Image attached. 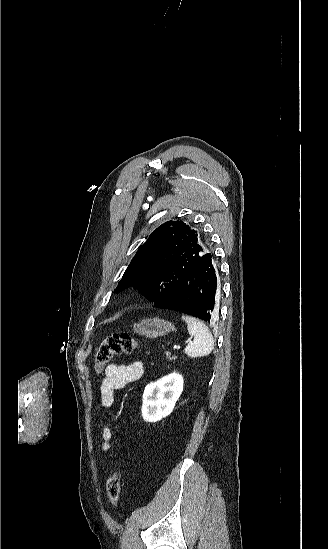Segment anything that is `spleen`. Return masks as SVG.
<instances>
[{
	"mask_svg": "<svg viewBox=\"0 0 328 549\" xmlns=\"http://www.w3.org/2000/svg\"><path fill=\"white\" fill-rule=\"evenodd\" d=\"M183 321L187 323V329L189 335H192L194 341L189 343L185 349L186 355L195 359V357H206L210 355L214 347L213 335L209 331L208 327L195 317H188V315H182Z\"/></svg>",
	"mask_w": 328,
	"mask_h": 549,
	"instance_id": "spleen-1",
	"label": "spleen"
}]
</instances>
